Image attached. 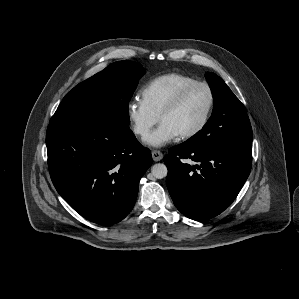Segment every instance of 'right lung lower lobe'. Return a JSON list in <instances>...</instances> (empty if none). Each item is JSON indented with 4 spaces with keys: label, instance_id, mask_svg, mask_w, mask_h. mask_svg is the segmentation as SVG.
Instances as JSON below:
<instances>
[{
    "label": "right lung lower lobe",
    "instance_id": "1",
    "mask_svg": "<svg viewBox=\"0 0 299 299\" xmlns=\"http://www.w3.org/2000/svg\"><path fill=\"white\" fill-rule=\"evenodd\" d=\"M48 168L58 193L84 218L102 225L124 219L137 198L151 152L129 126L103 120L48 126Z\"/></svg>",
    "mask_w": 299,
    "mask_h": 299
}]
</instances>
